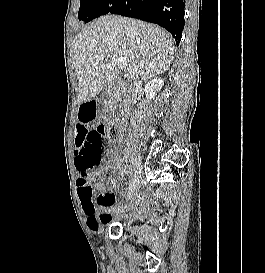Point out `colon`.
Returning <instances> with one entry per match:
<instances>
[{
	"label": "colon",
	"mask_w": 265,
	"mask_h": 273,
	"mask_svg": "<svg viewBox=\"0 0 265 273\" xmlns=\"http://www.w3.org/2000/svg\"><path fill=\"white\" fill-rule=\"evenodd\" d=\"M115 130L114 124H100L94 129H76L75 146L78 152L79 167L85 176L99 166L103 141L107 137H112ZM82 185L83 194L90 195L92 189L88 181L84 179Z\"/></svg>",
	"instance_id": "obj_1"
}]
</instances>
